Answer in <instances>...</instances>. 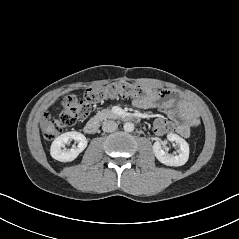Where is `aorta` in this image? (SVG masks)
<instances>
[{
    "mask_svg": "<svg viewBox=\"0 0 239 239\" xmlns=\"http://www.w3.org/2000/svg\"><path fill=\"white\" fill-rule=\"evenodd\" d=\"M123 128L126 132H132L134 130V124L131 122H127L124 124Z\"/></svg>",
    "mask_w": 239,
    "mask_h": 239,
    "instance_id": "762f6f07",
    "label": "aorta"
}]
</instances>
